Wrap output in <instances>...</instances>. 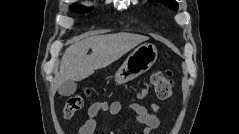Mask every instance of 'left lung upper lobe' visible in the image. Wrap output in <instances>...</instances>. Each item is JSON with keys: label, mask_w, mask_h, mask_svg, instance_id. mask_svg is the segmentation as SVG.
Segmentation results:
<instances>
[{"label": "left lung upper lobe", "mask_w": 239, "mask_h": 134, "mask_svg": "<svg viewBox=\"0 0 239 134\" xmlns=\"http://www.w3.org/2000/svg\"><path fill=\"white\" fill-rule=\"evenodd\" d=\"M149 2H161L164 5H166L168 8L177 11L178 10V4L175 0H148Z\"/></svg>", "instance_id": "left-lung-upper-lobe-1"}]
</instances>
